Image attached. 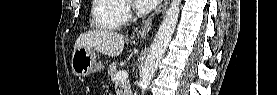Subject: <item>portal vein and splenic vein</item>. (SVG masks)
I'll return each mask as SVG.
<instances>
[{"label": "portal vein and splenic vein", "mask_w": 277, "mask_h": 95, "mask_svg": "<svg viewBox=\"0 0 277 95\" xmlns=\"http://www.w3.org/2000/svg\"><path fill=\"white\" fill-rule=\"evenodd\" d=\"M128 78V72L126 70L119 71L116 74V79L119 81L126 80Z\"/></svg>", "instance_id": "obj_1"}]
</instances>
